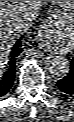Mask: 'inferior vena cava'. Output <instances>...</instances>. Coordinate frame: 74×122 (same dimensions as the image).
<instances>
[{"label":"inferior vena cava","instance_id":"1","mask_svg":"<svg viewBox=\"0 0 74 122\" xmlns=\"http://www.w3.org/2000/svg\"><path fill=\"white\" fill-rule=\"evenodd\" d=\"M35 15L36 13H33V15H31L30 17H26L20 24V28L27 30L29 26L32 24L34 18L36 17Z\"/></svg>","mask_w":74,"mask_h":122}]
</instances>
